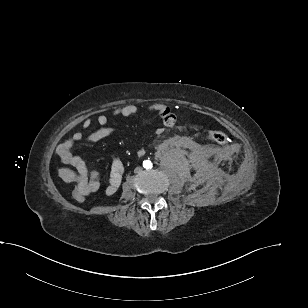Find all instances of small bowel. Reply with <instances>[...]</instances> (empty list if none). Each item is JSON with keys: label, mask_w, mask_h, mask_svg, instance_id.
Instances as JSON below:
<instances>
[{"label": "small bowel", "mask_w": 308, "mask_h": 308, "mask_svg": "<svg viewBox=\"0 0 308 308\" xmlns=\"http://www.w3.org/2000/svg\"><path fill=\"white\" fill-rule=\"evenodd\" d=\"M147 110L150 112H157L161 115L163 119V114L165 112H170L173 114L168 107L162 104H151L147 107ZM140 108L136 105H125L119 107L113 111L114 116H123L129 117L139 113ZM165 125H172L166 122L163 119ZM97 123L99 128L90 133L88 136H85L83 132L78 131L76 132L71 139L63 141L57 147V154L61 161L65 164H68L74 168L72 172V178L77 183V187L86 191L88 194L94 193L99 190L100 184V177L99 174L95 171H90L85 163V161L77 155H73L71 150L75 143L81 142L83 140H88L90 142H99L104 140L114 134V129L107 126L108 117L104 114H101L97 118ZM92 125V120L86 119L82 127L83 129H89ZM124 173V166L119 159H115L112 162L110 176L107 186L105 187V192L107 195H113L123 177Z\"/></svg>", "instance_id": "1"}]
</instances>
